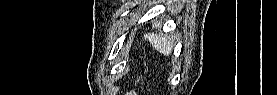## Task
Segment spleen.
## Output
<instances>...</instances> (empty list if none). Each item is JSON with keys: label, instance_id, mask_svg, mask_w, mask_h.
<instances>
[{"label": "spleen", "instance_id": "3e777b00", "mask_svg": "<svg viewBox=\"0 0 277 95\" xmlns=\"http://www.w3.org/2000/svg\"><path fill=\"white\" fill-rule=\"evenodd\" d=\"M144 39L148 40L153 48L161 54L168 56L173 49V43L169 36L163 34L146 33Z\"/></svg>", "mask_w": 277, "mask_h": 95}]
</instances>
